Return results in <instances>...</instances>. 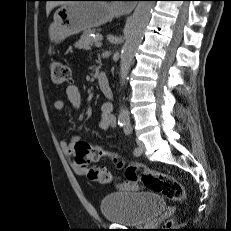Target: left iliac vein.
<instances>
[{
    "mask_svg": "<svg viewBox=\"0 0 231 231\" xmlns=\"http://www.w3.org/2000/svg\"><path fill=\"white\" fill-rule=\"evenodd\" d=\"M137 145H138V150L140 151V153H142L145 150V145L141 140H137Z\"/></svg>",
    "mask_w": 231,
    "mask_h": 231,
    "instance_id": "1",
    "label": "left iliac vein"
}]
</instances>
